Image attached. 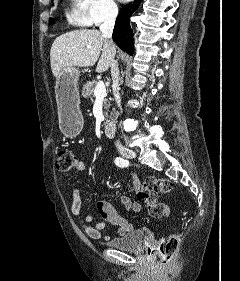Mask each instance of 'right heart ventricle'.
<instances>
[{
	"label": "right heart ventricle",
	"instance_id": "e07e8e85",
	"mask_svg": "<svg viewBox=\"0 0 240 281\" xmlns=\"http://www.w3.org/2000/svg\"><path fill=\"white\" fill-rule=\"evenodd\" d=\"M87 8V0H69V5L65 12L67 22L75 27L90 26L92 23Z\"/></svg>",
	"mask_w": 240,
	"mask_h": 281
}]
</instances>
